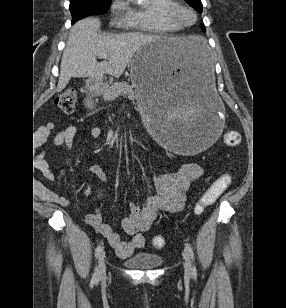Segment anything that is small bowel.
<instances>
[{"instance_id": "small-bowel-1", "label": "small bowel", "mask_w": 286, "mask_h": 308, "mask_svg": "<svg viewBox=\"0 0 286 308\" xmlns=\"http://www.w3.org/2000/svg\"><path fill=\"white\" fill-rule=\"evenodd\" d=\"M54 124L47 123L37 129L34 134V141L37 147L42 146L50 137L55 146H64L70 148L75 140L77 128L74 125L65 127L53 133ZM101 129L94 127L90 134L93 138L101 136ZM37 169L43 176L49 180L56 179L49 163L44 159L42 153L37 155ZM92 175L99 182L107 181V174L99 164H93L90 167ZM203 175V169L194 163H184L173 171H165L154 176V185L156 194L148 197L143 206L135 203L131 204L130 214L123 220V227L127 238L114 232L110 225L102 221V215L99 210H95L85 216V221L95 229L100 235L105 237L110 246L115 250L119 257H129L136 249L145 245L143 232L148 231L160 211L176 212L184 204L186 193L190 190L192 184L199 180ZM90 188L86 187L83 194L87 195ZM42 197L61 206L69 205V200L58 196L48 188H44Z\"/></svg>"}]
</instances>
